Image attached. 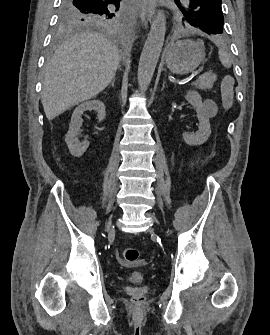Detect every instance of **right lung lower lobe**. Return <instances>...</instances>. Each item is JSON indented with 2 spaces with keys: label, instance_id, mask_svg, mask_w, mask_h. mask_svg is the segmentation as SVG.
<instances>
[{
  "label": "right lung lower lobe",
  "instance_id": "right-lung-lower-lobe-1",
  "mask_svg": "<svg viewBox=\"0 0 270 335\" xmlns=\"http://www.w3.org/2000/svg\"><path fill=\"white\" fill-rule=\"evenodd\" d=\"M119 2H120V4H122V5L124 4V3L122 2V0H120Z\"/></svg>",
  "mask_w": 270,
  "mask_h": 335
}]
</instances>
